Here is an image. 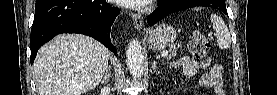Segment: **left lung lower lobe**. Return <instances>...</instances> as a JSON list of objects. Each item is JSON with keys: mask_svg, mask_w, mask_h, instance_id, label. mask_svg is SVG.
<instances>
[{"mask_svg": "<svg viewBox=\"0 0 277 95\" xmlns=\"http://www.w3.org/2000/svg\"><path fill=\"white\" fill-rule=\"evenodd\" d=\"M201 1L202 0H160L159 7L147 17V22L150 26H153L173 12L194 6H200ZM217 9L227 14L226 5Z\"/></svg>", "mask_w": 277, "mask_h": 95, "instance_id": "left-lung-lower-lobe-1", "label": "left lung lower lobe"}]
</instances>
